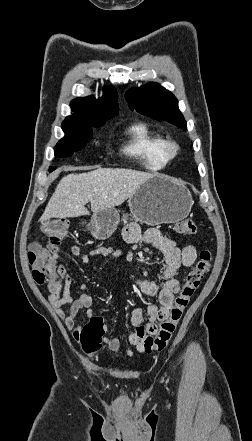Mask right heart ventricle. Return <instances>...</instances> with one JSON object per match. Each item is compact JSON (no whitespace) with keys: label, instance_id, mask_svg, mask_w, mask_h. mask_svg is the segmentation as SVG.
Wrapping results in <instances>:
<instances>
[{"label":"right heart ventricle","instance_id":"e07e8e85","mask_svg":"<svg viewBox=\"0 0 252 441\" xmlns=\"http://www.w3.org/2000/svg\"><path fill=\"white\" fill-rule=\"evenodd\" d=\"M126 134L128 139L123 147L124 154L144 169L159 171L168 164L169 160L162 153L164 139L148 124L133 123L127 128Z\"/></svg>","mask_w":252,"mask_h":441}]
</instances>
